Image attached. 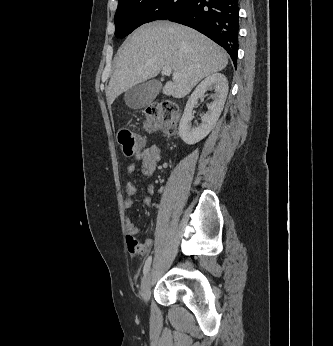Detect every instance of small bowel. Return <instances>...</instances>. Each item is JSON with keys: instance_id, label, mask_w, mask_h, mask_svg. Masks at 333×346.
Instances as JSON below:
<instances>
[{"instance_id": "1", "label": "small bowel", "mask_w": 333, "mask_h": 346, "mask_svg": "<svg viewBox=\"0 0 333 346\" xmlns=\"http://www.w3.org/2000/svg\"><path fill=\"white\" fill-rule=\"evenodd\" d=\"M162 159V151L158 145L152 144L145 147L143 150L135 154V160L141 163V171L144 176H151L157 169L158 164ZM136 170L135 163H129L126 167L127 174H133ZM149 195L144 198V203L150 205L152 202L151 194L154 191L153 185L147 187ZM137 193L136 186L129 182L126 185L127 197L124 201V206L130 208L134 203V197ZM127 231V246L131 254H152L153 244L152 239L144 242V239H138L139 227L128 218L126 220Z\"/></svg>"}]
</instances>
